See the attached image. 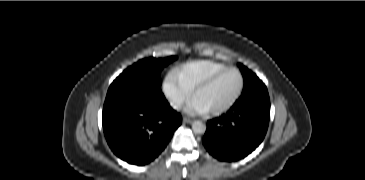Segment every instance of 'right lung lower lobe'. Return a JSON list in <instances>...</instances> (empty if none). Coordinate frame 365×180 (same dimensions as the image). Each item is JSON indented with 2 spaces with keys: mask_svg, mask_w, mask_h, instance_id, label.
<instances>
[{
  "mask_svg": "<svg viewBox=\"0 0 365 180\" xmlns=\"http://www.w3.org/2000/svg\"><path fill=\"white\" fill-rule=\"evenodd\" d=\"M102 122L111 150L130 164L145 165L165 149L182 117L160 87L135 86L106 96Z\"/></svg>",
  "mask_w": 365,
  "mask_h": 180,
  "instance_id": "obj_1",
  "label": "right lung lower lobe"
}]
</instances>
